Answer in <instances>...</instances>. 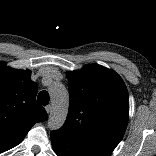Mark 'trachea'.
<instances>
[{"label":"trachea","mask_w":156,"mask_h":156,"mask_svg":"<svg viewBox=\"0 0 156 156\" xmlns=\"http://www.w3.org/2000/svg\"><path fill=\"white\" fill-rule=\"evenodd\" d=\"M38 102L42 105H47L49 103V94L47 91H41L39 94H38Z\"/></svg>","instance_id":"trachea-1"}]
</instances>
